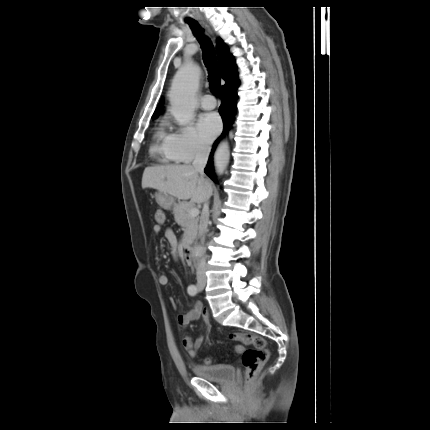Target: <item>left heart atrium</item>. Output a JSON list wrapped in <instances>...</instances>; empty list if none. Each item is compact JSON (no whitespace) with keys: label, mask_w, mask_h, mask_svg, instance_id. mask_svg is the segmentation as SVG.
Listing matches in <instances>:
<instances>
[{"label":"left heart atrium","mask_w":430,"mask_h":430,"mask_svg":"<svg viewBox=\"0 0 430 430\" xmlns=\"http://www.w3.org/2000/svg\"><path fill=\"white\" fill-rule=\"evenodd\" d=\"M198 129L205 142H211L221 130V120L216 113L203 114L198 121Z\"/></svg>","instance_id":"left-heart-atrium-1"}]
</instances>
